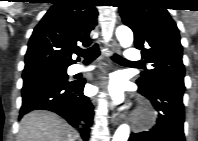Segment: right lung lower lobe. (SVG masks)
<instances>
[{
    "mask_svg": "<svg viewBox=\"0 0 198 141\" xmlns=\"http://www.w3.org/2000/svg\"><path fill=\"white\" fill-rule=\"evenodd\" d=\"M85 80H63L57 77H38L24 80L20 118L33 110H49L65 118L77 127L85 122L81 131L82 138L88 140V127L92 123L93 106L84 96Z\"/></svg>",
    "mask_w": 198,
    "mask_h": 141,
    "instance_id": "obj_1",
    "label": "right lung lower lobe"
}]
</instances>
